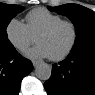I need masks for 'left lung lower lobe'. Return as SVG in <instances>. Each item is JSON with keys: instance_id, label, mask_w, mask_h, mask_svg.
<instances>
[{"instance_id": "left-lung-lower-lobe-1", "label": "left lung lower lobe", "mask_w": 95, "mask_h": 95, "mask_svg": "<svg viewBox=\"0 0 95 95\" xmlns=\"http://www.w3.org/2000/svg\"><path fill=\"white\" fill-rule=\"evenodd\" d=\"M44 87L48 95H95V43L54 64Z\"/></svg>"}]
</instances>
